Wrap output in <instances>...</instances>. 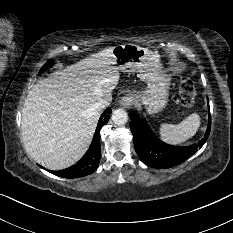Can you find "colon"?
Returning <instances> with one entry per match:
<instances>
[{"label": "colon", "mask_w": 233, "mask_h": 233, "mask_svg": "<svg viewBox=\"0 0 233 233\" xmlns=\"http://www.w3.org/2000/svg\"><path fill=\"white\" fill-rule=\"evenodd\" d=\"M179 95L183 106L191 107L195 103L196 91L194 84L190 79H184L180 82Z\"/></svg>", "instance_id": "5ec220e1"}]
</instances>
